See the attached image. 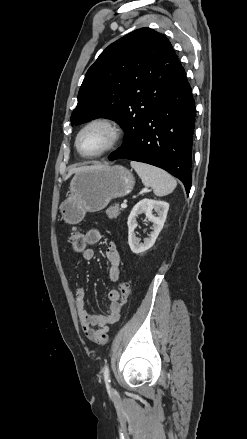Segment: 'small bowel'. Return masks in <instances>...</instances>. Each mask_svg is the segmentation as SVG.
Wrapping results in <instances>:
<instances>
[{"label":"small bowel","instance_id":"obj_1","mask_svg":"<svg viewBox=\"0 0 247 439\" xmlns=\"http://www.w3.org/2000/svg\"><path fill=\"white\" fill-rule=\"evenodd\" d=\"M103 235L97 228H90L84 233L86 245H94L101 241ZM94 253L90 248H85L81 253V259L89 261ZM106 258L108 261V276L112 282H117L120 278V255L115 243L110 242L106 248ZM109 305L106 314L91 315L85 308V292L82 288L76 290L74 303L77 315L84 335L96 344H105L108 340L109 325L119 320L121 303L120 292L111 290L108 294Z\"/></svg>","mask_w":247,"mask_h":439}]
</instances>
